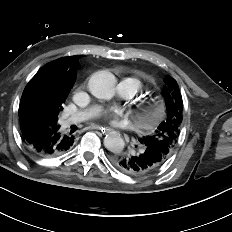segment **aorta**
I'll return each mask as SVG.
<instances>
[{"label":"aorta","mask_w":232,"mask_h":232,"mask_svg":"<svg viewBox=\"0 0 232 232\" xmlns=\"http://www.w3.org/2000/svg\"><path fill=\"white\" fill-rule=\"evenodd\" d=\"M88 85L95 97L109 100L115 93L116 78L110 72L100 71L92 75ZM124 145L123 138L116 132H111L104 138V146L111 152H120Z\"/></svg>","instance_id":"1"}]
</instances>
